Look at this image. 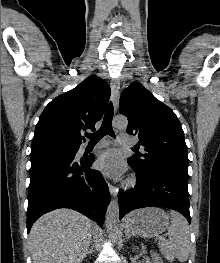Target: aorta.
<instances>
[{
    "instance_id": "obj_1",
    "label": "aorta",
    "mask_w": 220,
    "mask_h": 263,
    "mask_svg": "<svg viewBox=\"0 0 220 263\" xmlns=\"http://www.w3.org/2000/svg\"><path fill=\"white\" fill-rule=\"evenodd\" d=\"M128 121L123 116L114 119L115 128L124 129L127 127ZM106 227L109 235L115 237L119 228V204L117 200H111L106 212Z\"/></svg>"
}]
</instances>
